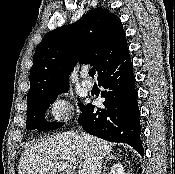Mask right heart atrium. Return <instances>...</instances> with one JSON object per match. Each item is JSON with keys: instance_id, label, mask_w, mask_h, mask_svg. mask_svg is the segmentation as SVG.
Returning <instances> with one entry per match:
<instances>
[{"instance_id": "obj_1", "label": "right heart atrium", "mask_w": 175, "mask_h": 174, "mask_svg": "<svg viewBox=\"0 0 175 174\" xmlns=\"http://www.w3.org/2000/svg\"><path fill=\"white\" fill-rule=\"evenodd\" d=\"M71 115L70 102L65 98H58L50 106V116L55 121H62Z\"/></svg>"}]
</instances>
